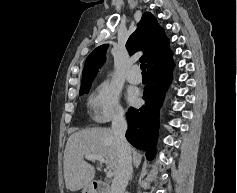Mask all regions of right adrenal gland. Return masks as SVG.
Here are the masks:
<instances>
[{
    "mask_svg": "<svg viewBox=\"0 0 237 193\" xmlns=\"http://www.w3.org/2000/svg\"><path fill=\"white\" fill-rule=\"evenodd\" d=\"M132 173H133V170H132V172H131L130 180L132 179Z\"/></svg>",
    "mask_w": 237,
    "mask_h": 193,
    "instance_id": "2a0ac1e0",
    "label": "right adrenal gland"
}]
</instances>
